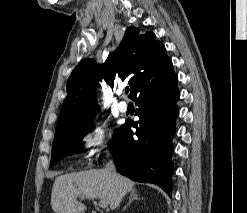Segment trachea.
I'll return each instance as SVG.
<instances>
[{
	"label": "trachea",
	"instance_id": "1",
	"mask_svg": "<svg viewBox=\"0 0 247 213\" xmlns=\"http://www.w3.org/2000/svg\"><path fill=\"white\" fill-rule=\"evenodd\" d=\"M125 92H126V93L129 92V87L125 88Z\"/></svg>",
	"mask_w": 247,
	"mask_h": 213
}]
</instances>
